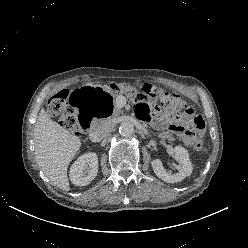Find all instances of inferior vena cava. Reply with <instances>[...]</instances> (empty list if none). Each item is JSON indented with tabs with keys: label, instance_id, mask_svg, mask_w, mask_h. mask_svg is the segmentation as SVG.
I'll list each match as a JSON object with an SVG mask.
<instances>
[{
	"label": "inferior vena cava",
	"instance_id": "obj_1",
	"mask_svg": "<svg viewBox=\"0 0 248 248\" xmlns=\"http://www.w3.org/2000/svg\"><path fill=\"white\" fill-rule=\"evenodd\" d=\"M114 129V124L110 120H101L95 123L89 133L92 142H100L106 138Z\"/></svg>",
	"mask_w": 248,
	"mask_h": 248
}]
</instances>
